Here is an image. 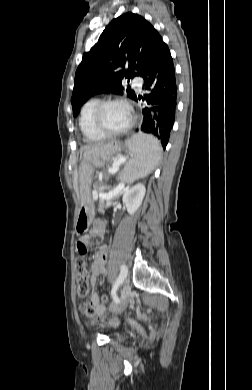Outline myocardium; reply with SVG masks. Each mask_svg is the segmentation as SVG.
Instances as JSON below:
<instances>
[{"label": "myocardium", "instance_id": "f54148a6", "mask_svg": "<svg viewBox=\"0 0 252 390\" xmlns=\"http://www.w3.org/2000/svg\"><path fill=\"white\" fill-rule=\"evenodd\" d=\"M114 103H121V104L126 105L129 108L130 113H131L130 122L128 123L127 126H125L124 128H122L120 130H108L107 128L104 127V125L102 123V119H101V115H102V112L105 109V107L110 105V104H114ZM92 119H93V124L98 132H100L105 137H114V136H120V135H123V134H126L127 132H129L136 123L137 115L135 113L133 105L128 100L123 99V98H108V99L99 101V103L96 105V107L93 111Z\"/></svg>", "mask_w": 252, "mask_h": 390}]
</instances>
